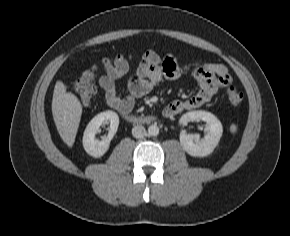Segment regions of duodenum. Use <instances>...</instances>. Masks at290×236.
Instances as JSON below:
<instances>
[{
  "instance_id": "410a0bca",
  "label": "duodenum",
  "mask_w": 290,
  "mask_h": 236,
  "mask_svg": "<svg viewBox=\"0 0 290 236\" xmlns=\"http://www.w3.org/2000/svg\"><path fill=\"white\" fill-rule=\"evenodd\" d=\"M126 119L128 121L135 122V123L145 122L148 120L147 118L137 117V116H133V115H127Z\"/></svg>"
}]
</instances>
